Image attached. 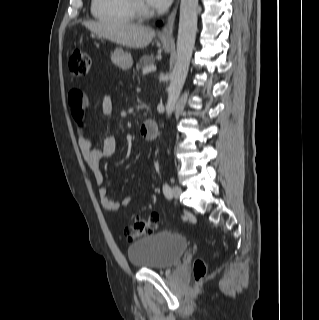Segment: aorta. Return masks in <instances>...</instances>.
Wrapping results in <instances>:
<instances>
[{"label": "aorta", "instance_id": "762f6f07", "mask_svg": "<svg viewBox=\"0 0 319 320\" xmlns=\"http://www.w3.org/2000/svg\"><path fill=\"white\" fill-rule=\"evenodd\" d=\"M197 19L198 0H181L176 61L167 90L166 114L168 117L175 109L187 77L195 45Z\"/></svg>", "mask_w": 319, "mask_h": 320}]
</instances>
